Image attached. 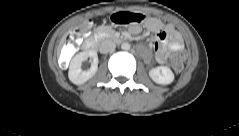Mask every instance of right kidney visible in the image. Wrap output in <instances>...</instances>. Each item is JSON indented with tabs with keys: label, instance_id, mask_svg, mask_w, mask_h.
<instances>
[{
	"label": "right kidney",
	"instance_id": "1",
	"mask_svg": "<svg viewBox=\"0 0 239 136\" xmlns=\"http://www.w3.org/2000/svg\"><path fill=\"white\" fill-rule=\"evenodd\" d=\"M88 58L90 59L91 67L88 70H82V62ZM98 63L99 60L96 51L89 50L76 54L70 62L68 72L69 80L76 85L84 84L95 75L98 69Z\"/></svg>",
	"mask_w": 239,
	"mask_h": 136
}]
</instances>
